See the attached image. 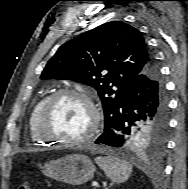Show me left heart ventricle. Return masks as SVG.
Here are the masks:
<instances>
[{
    "label": "left heart ventricle",
    "instance_id": "left-heart-ventricle-1",
    "mask_svg": "<svg viewBox=\"0 0 188 189\" xmlns=\"http://www.w3.org/2000/svg\"><path fill=\"white\" fill-rule=\"evenodd\" d=\"M92 114L88 104L75 97H63L55 102L46 120V132L51 136L73 139L90 127Z\"/></svg>",
    "mask_w": 188,
    "mask_h": 189
}]
</instances>
